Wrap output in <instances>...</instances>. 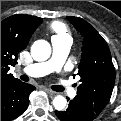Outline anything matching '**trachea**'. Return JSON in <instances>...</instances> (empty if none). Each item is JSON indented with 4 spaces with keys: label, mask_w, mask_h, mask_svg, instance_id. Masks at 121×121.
<instances>
[{
    "label": "trachea",
    "mask_w": 121,
    "mask_h": 121,
    "mask_svg": "<svg viewBox=\"0 0 121 121\" xmlns=\"http://www.w3.org/2000/svg\"><path fill=\"white\" fill-rule=\"evenodd\" d=\"M21 79L23 81H28L29 80L28 76H26V75H22ZM54 87H55L56 91H63L64 90V88L62 86H54Z\"/></svg>",
    "instance_id": "3493384b"
}]
</instances>
